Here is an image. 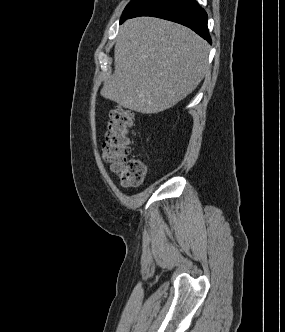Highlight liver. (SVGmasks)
Here are the masks:
<instances>
[{
	"label": "liver",
	"instance_id": "6515ba94",
	"mask_svg": "<svg viewBox=\"0 0 285 332\" xmlns=\"http://www.w3.org/2000/svg\"><path fill=\"white\" fill-rule=\"evenodd\" d=\"M209 46L191 29L154 17L127 20L114 49V73L101 95L142 114L183 100L208 71Z\"/></svg>",
	"mask_w": 285,
	"mask_h": 332
}]
</instances>
